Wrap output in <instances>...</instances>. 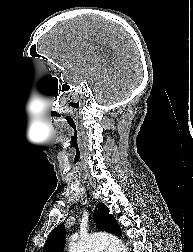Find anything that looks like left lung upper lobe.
Listing matches in <instances>:
<instances>
[{
	"label": "left lung upper lobe",
	"mask_w": 193,
	"mask_h": 252,
	"mask_svg": "<svg viewBox=\"0 0 193 252\" xmlns=\"http://www.w3.org/2000/svg\"><path fill=\"white\" fill-rule=\"evenodd\" d=\"M94 221L96 222L97 229L110 232L117 236L122 235L120 226L116 219L113 217V215L109 214V209L102 203L97 205V210L94 214ZM65 234L66 230L64 225H58L49 234L44 245L43 252H62Z\"/></svg>",
	"instance_id": "left-lung-upper-lobe-1"
}]
</instances>
